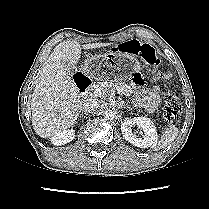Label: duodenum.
<instances>
[{"instance_id":"duodenum-1","label":"duodenum","mask_w":209,"mask_h":209,"mask_svg":"<svg viewBox=\"0 0 209 209\" xmlns=\"http://www.w3.org/2000/svg\"><path fill=\"white\" fill-rule=\"evenodd\" d=\"M73 82L77 90L81 93L87 92V90L90 88L92 84V81L81 73L75 74L73 76Z\"/></svg>"}]
</instances>
